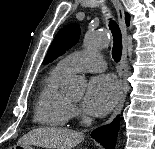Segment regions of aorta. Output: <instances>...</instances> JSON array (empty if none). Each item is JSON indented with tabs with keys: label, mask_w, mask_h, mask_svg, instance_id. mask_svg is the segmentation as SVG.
Wrapping results in <instances>:
<instances>
[{
	"label": "aorta",
	"mask_w": 155,
	"mask_h": 149,
	"mask_svg": "<svg viewBox=\"0 0 155 149\" xmlns=\"http://www.w3.org/2000/svg\"><path fill=\"white\" fill-rule=\"evenodd\" d=\"M110 37L106 33H99L89 28L86 32L83 45L87 51H94L106 47ZM64 91L73 96H80L84 91V81L79 77H71L64 83Z\"/></svg>",
	"instance_id": "obj_1"
}]
</instances>
